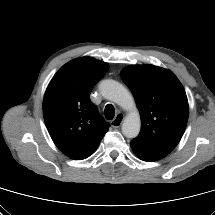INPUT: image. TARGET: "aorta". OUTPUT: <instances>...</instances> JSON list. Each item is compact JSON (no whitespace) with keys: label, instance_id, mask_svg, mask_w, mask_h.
<instances>
[{"label":"aorta","instance_id":"762f6f07","mask_svg":"<svg viewBox=\"0 0 215 215\" xmlns=\"http://www.w3.org/2000/svg\"><path fill=\"white\" fill-rule=\"evenodd\" d=\"M102 96L128 111L122 124V133L127 138L138 136L141 128L140 115L130 92L119 82L111 79L103 80L99 85Z\"/></svg>","mask_w":215,"mask_h":215}]
</instances>
